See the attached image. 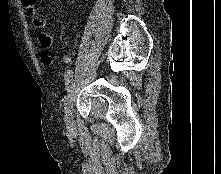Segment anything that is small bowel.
I'll return each mask as SVG.
<instances>
[{"label":"small bowel","instance_id":"obj_1","mask_svg":"<svg viewBox=\"0 0 221 174\" xmlns=\"http://www.w3.org/2000/svg\"><path fill=\"white\" fill-rule=\"evenodd\" d=\"M22 2L25 7V12L31 19L34 27L37 30L42 31L45 27V22L37 14V0H22ZM39 40L40 44L45 49L41 54V59L45 64H51L54 61V58L49 49L53 44V37L49 34L41 33ZM62 60L64 63L70 64L72 62V57L69 54H64Z\"/></svg>","mask_w":221,"mask_h":174}]
</instances>
